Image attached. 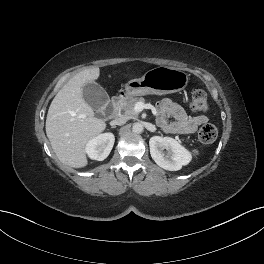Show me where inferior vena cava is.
I'll use <instances>...</instances> for the list:
<instances>
[{"mask_svg":"<svg viewBox=\"0 0 264 264\" xmlns=\"http://www.w3.org/2000/svg\"><path fill=\"white\" fill-rule=\"evenodd\" d=\"M127 121V118L126 117H119V118H116L115 120L111 121L110 122V125L111 126H115V125H123L125 124Z\"/></svg>","mask_w":264,"mask_h":264,"instance_id":"obj_1","label":"inferior vena cava"}]
</instances>
